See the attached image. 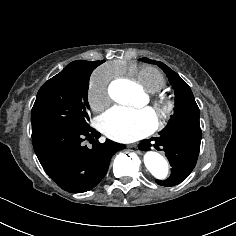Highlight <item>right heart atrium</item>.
Masks as SVG:
<instances>
[{
    "mask_svg": "<svg viewBox=\"0 0 236 236\" xmlns=\"http://www.w3.org/2000/svg\"><path fill=\"white\" fill-rule=\"evenodd\" d=\"M114 73L107 66L96 69L89 80L88 96L91 106L96 110H104L111 103L110 84Z\"/></svg>",
    "mask_w": 236,
    "mask_h": 236,
    "instance_id": "1",
    "label": "right heart atrium"
}]
</instances>
